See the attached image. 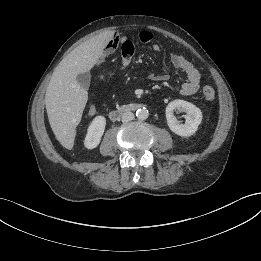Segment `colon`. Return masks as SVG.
Returning a JSON list of instances; mask_svg holds the SVG:
<instances>
[{
    "instance_id": "colon-1",
    "label": "colon",
    "mask_w": 261,
    "mask_h": 261,
    "mask_svg": "<svg viewBox=\"0 0 261 261\" xmlns=\"http://www.w3.org/2000/svg\"><path fill=\"white\" fill-rule=\"evenodd\" d=\"M101 78H104V75ZM202 96L206 101H213L215 99V90L210 86H205L202 89Z\"/></svg>"
}]
</instances>
